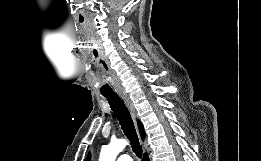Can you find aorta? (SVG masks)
<instances>
[{
	"label": "aorta",
	"instance_id": "aorta-1",
	"mask_svg": "<svg viewBox=\"0 0 261 161\" xmlns=\"http://www.w3.org/2000/svg\"><path fill=\"white\" fill-rule=\"evenodd\" d=\"M127 145L126 140H112L110 144L102 146L99 161H115L118 154Z\"/></svg>",
	"mask_w": 261,
	"mask_h": 161
}]
</instances>
